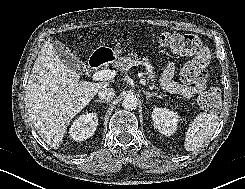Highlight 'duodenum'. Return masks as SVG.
<instances>
[{
	"label": "duodenum",
	"instance_id": "1",
	"mask_svg": "<svg viewBox=\"0 0 245 189\" xmlns=\"http://www.w3.org/2000/svg\"><path fill=\"white\" fill-rule=\"evenodd\" d=\"M113 59V54L109 50H99L95 52L91 57H90V66L92 68H99L105 63L111 61Z\"/></svg>",
	"mask_w": 245,
	"mask_h": 189
}]
</instances>
